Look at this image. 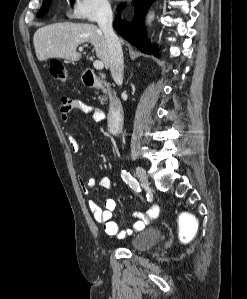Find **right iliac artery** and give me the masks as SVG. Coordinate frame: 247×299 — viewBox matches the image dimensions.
<instances>
[{
  "mask_svg": "<svg viewBox=\"0 0 247 299\" xmlns=\"http://www.w3.org/2000/svg\"><path fill=\"white\" fill-rule=\"evenodd\" d=\"M121 177L125 181V183L128 184L129 187L135 192L141 191L138 181L134 179L129 173H127L126 171H122Z\"/></svg>",
  "mask_w": 247,
  "mask_h": 299,
  "instance_id": "obj_1",
  "label": "right iliac artery"
}]
</instances>
